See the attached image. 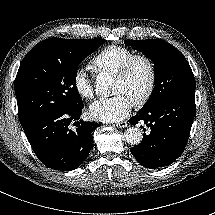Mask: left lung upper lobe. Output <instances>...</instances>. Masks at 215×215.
Listing matches in <instances>:
<instances>
[{
	"mask_svg": "<svg viewBox=\"0 0 215 215\" xmlns=\"http://www.w3.org/2000/svg\"><path fill=\"white\" fill-rule=\"evenodd\" d=\"M125 45L146 54L155 65V87L140 111L154 107L162 100L195 90V78L184 55L161 40H125Z\"/></svg>",
	"mask_w": 215,
	"mask_h": 215,
	"instance_id": "1",
	"label": "left lung upper lobe"
}]
</instances>
